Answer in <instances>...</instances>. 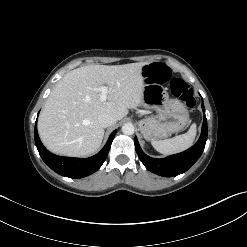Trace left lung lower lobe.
<instances>
[{"label": "left lung lower lobe", "mask_w": 247, "mask_h": 247, "mask_svg": "<svg viewBox=\"0 0 247 247\" xmlns=\"http://www.w3.org/2000/svg\"><path fill=\"white\" fill-rule=\"evenodd\" d=\"M202 110L204 113V121L202 125L201 136L194 146L184 152L171 155L163 159L151 158L141 150L138 140L135 137L134 142L136 152L141 162L149 171L160 176L173 177L187 171L199 159L207 140V119L205 116V108L203 104Z\"/></svg>", "instance_id": "1"}]
</instances>
